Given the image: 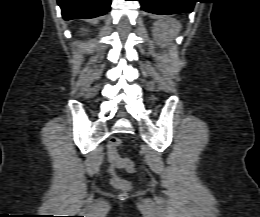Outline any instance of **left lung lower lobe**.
<instances>
[{
	"label": "left lung lower lobe",
	"mask_w": 260,
	"mask_h": 217,
	"mask_svg": "<svg viewBox=\"0 0 260 217\" xmlns=\"http://www.w3.org/2000/svg\"><path fill=\"white\" fill-rule=\"evenodd\" d=\"M141 9L154 14L191 13L196 0H138Z\"/></svg>",
	"instance_id": "obj_1"
}]
</instances>
